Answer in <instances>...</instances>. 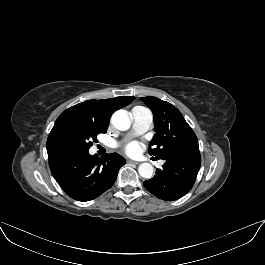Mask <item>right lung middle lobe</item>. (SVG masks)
Here are the masks:
<instances>
[{
  "label": "right lung middle lobe",
  "mask_w": 265,
  "mask_h": 265,
  "mask_svg": "<svg viewBox=\"0 0 265 265\" xmlns=\"http://www.w3.org/2000/svg\"><path fill=\"white\" fill-rule=\"evenodd\" d=\"M99 133H106L92 124L67 122L57 127L48 138L51 148L58 154L87 153Z\"/></svg>",
  "instance_id": "right-lung-middle-lobe-1"
}]
</instances>
